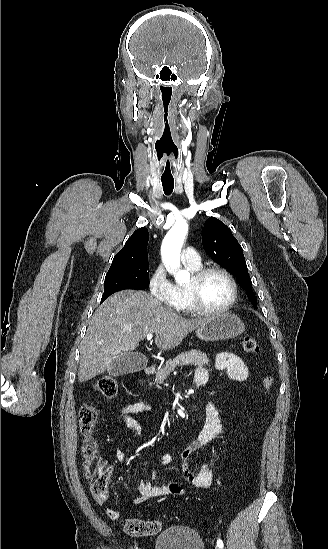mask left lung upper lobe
Wrapping results in <instances>:
<instances>
[{"label":"left lung upper lobe","instance_id":"1","mask_svg":"<svg viewBox=\"0 0 328 549\" xmlns=\"http://www.w3.org/2000/svg\"><path fill=\"white\" fill-rule=\"evenodd\" d=\"M202 243L205 251L215 262L236 276L252 303L256 305L242 247L230 228L215 217L208 218L203 229Z\"/></svg>","mask_w":328,"mask_h":549}]
</instances>
